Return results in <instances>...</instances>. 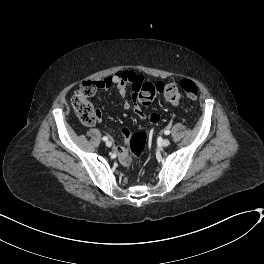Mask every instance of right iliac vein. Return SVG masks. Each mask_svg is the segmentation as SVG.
Returning <instances> with one entry per match:
<instances>
[{"label":"right iliac vein","instance_id":"1","mask_svg":"<svg viewBox=\"0 0 264 264\" xmlns=\"http://www.w3.org/2000/svg\"><path fill=\"white\" fill-rule=\"evenodd\" d=\"M106 146H107V147H111V146H112V142H111V141H107V142H106Z\"/></svg>","mask_w":264,"mask_h":264}]
</instances>
